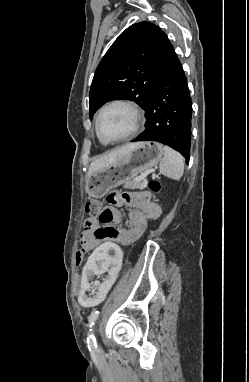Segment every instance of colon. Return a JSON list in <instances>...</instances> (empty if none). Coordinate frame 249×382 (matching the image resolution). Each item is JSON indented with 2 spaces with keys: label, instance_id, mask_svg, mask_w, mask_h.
<instances>
[{
  "label": "colon",
  "instance_id": "5ec220e1",
  "mask_svg": "<svg viewBox=\"0 0 249 382\" xmlns=\"http://www.w3.org/2000/svg\"><path fill=\"white\" fill-rule=\"evenodd\" d=\"M150 188L154 191H159L160 190V184L157 181H153L150 183ZM103 204L101 201L97 199L90 200L86 203L85 205V211L89 214L92 215H99L102 210H103ZM83 251H78L77 256H76V267L77 268H82L83 267Z\"/></svg>",
  "mask_w": 249,
  "mask_h": 382
}]
</instances>
